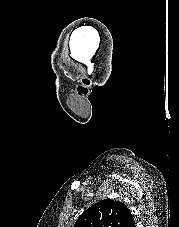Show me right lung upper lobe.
Here are the masks:
<instances>
[{"instance_id":"cb5924a9","label":"right lung upper lobe","mask_w":179,"mask_h":227,"mask_svg":"<svg viewBox=\"0 0 179 227\" xmlns=\"http://www.w3.org/2000/svg\"><path fill=\"white\" fill-rule=\"evenodd\" d=\"M74 227H135V221L124 203L105 199L85 210Z\"/></svg>"}]
</instances>
